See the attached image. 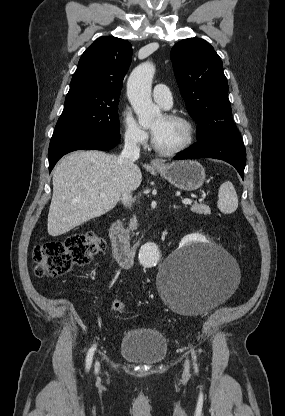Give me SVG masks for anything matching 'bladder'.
Segmentation results:
<instances>
[{
    "label": "bladder",
    "mask_w": 285,
    "mask_h": 416,
    "mask_svg": "<svg viewBox=\"0 0 285 416\" xmlns=\"http://www.w3.org/2000/svg\"><path fill=\"white\" fill-rule=\"evenodd\" d=\"M166 353L165 336L154 328L126 331L119 346V354L133 362L155 363L162 360Z\"/></svg>",
    "instance_id": "1"
}]
</instances>
